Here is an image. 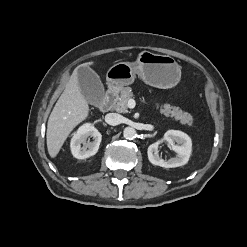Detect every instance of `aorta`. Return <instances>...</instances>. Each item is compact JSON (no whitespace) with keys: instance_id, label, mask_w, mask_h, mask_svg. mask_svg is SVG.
Wrapping results in <instances>:
<instances>
[{"instance_id":"1","label":"aorta","mask_w":247,"mask_h":247,"mask_svg":"<svg viewBox=\"0 0 247 247\" xmlns=\"http://www.w3.org/2000/svg\"><path fill=\"white\" fill-rule=\"evenodd\" d=\"M125 139L131 140L136 137V130L132 127H126L123 131Z\"/></svg>"}]
</instances>
